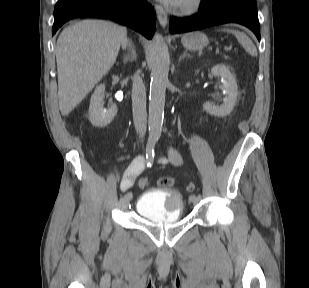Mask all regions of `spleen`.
<instances>
[{
  "mask_svg": "<svg viewBox=\"0 0 309 288\" xmlns=\"http://www.w3.org/2000/svg\"><path fill=\"white\" fill-rule=\"evenodd\" d=\"M235 35L238 42L244 47L246 52L253 57L257 56V49L253 42L245 35L244 33L237 31V30H225Z\"/></svg>",
  "mask_w": 309,
  "mask_h": 288,
  "instance_id": "spleen-1",
  "label": "spleen"
}]
</instances>
